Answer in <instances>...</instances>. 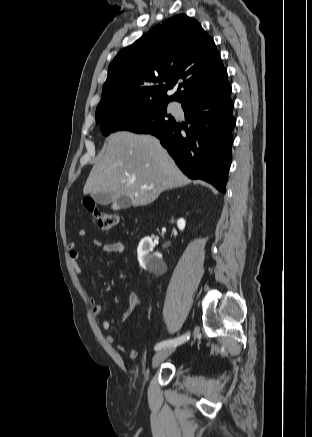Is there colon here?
<instances>
[{"label": "colon", "instance_id": "obj_1", "mask_svg": "<svg viewBox=\"0 0 312 437\" xmlns=\"http://www.w3.org/2000/svg\"><path fill=\"white\" fill-rule=\"evenodd\" d=\"M84 205L89 211L92 221L97 224L100 229L109 230L118 224L119 217L117 214L101 210L91 198H85Z\"/></svg>", "mask_w": 312, "mask_h": 437}]
</instances>
